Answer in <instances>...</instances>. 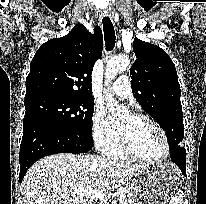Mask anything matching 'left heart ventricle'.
Segmentation results:
<instances>
[{
    "label": "left heart ventricle",
    "instance_id": "obj_1",
    "mask_svg": "<svg viewBox=\"0 0 206 204\" xmlns=\"http://www.w3.org/2000/svg\"><path fill=\"white\" fill-rule=\"evenodd\" d=\"M117 126L125 134L132 148L141 156L157 159L164 155L163 138L149 122L126 115Z\"/></svg>",
    "mask_w": 206,
    "mask_h": 204
}]
</instances>
